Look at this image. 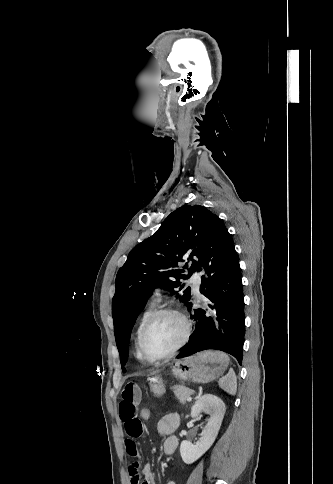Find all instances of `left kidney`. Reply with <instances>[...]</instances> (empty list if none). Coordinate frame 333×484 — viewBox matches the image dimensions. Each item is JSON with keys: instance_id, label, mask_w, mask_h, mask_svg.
<instances>
[{"instance_id": "5707ae66", "label": "left kidney", "mask_w": 333, "mask_h": 484, "mask_svg": "<svg viewBox=\"0 0 333 484\" xmlns=\"http://www.w3.org/2000/svg\"><path fill=\"white\" fill-rule=\"evenodd\" d=\"M225 410L223 400L213 394H204L194 403L191 416L197 418L204 412L209 415V419L195 445L189 441L181 442L180 454L184 463L195 462L212 446L221 427Z\"/></svg>"}]
</instances>
